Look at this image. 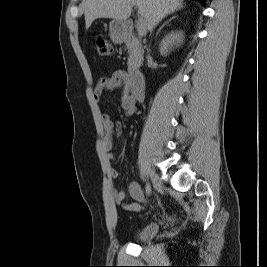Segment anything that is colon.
<instances>
[{"label": "colon", "instance_id": "colon-1", "mask_svg": "<svg viewBox=\"0 0 267 267\" xmlns=\"http://www.w3.org/2000/svg\"><path fill=\"white\" fill-rule=\"evenodd\" d=\"M95 46L97 53L100 56H110L112 54V45L103 37L96 38Z\"/></svg>", "mask_w": 267, "mask_h": 267}]
</instances>
